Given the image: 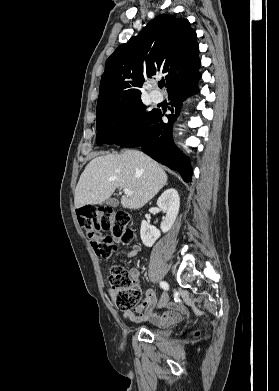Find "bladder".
Listing matches in <instances>:
<instances>
[{"mask_svg": "<svg viewBox=\"0 0 279 391\" xmlns=\"http://www.w3.org/2000/svg\"><path fill=\"white\" fill-rule=\"evenodd\" d=\"M151 333H152L154 336H165V335H167L166 332L161 331V330H158V329L152 330Z\"/></svg>", "mask_w": 279, "mask_h": 391, "instance_id": "bladder-1", "label": "bladder"}]
</instances>
